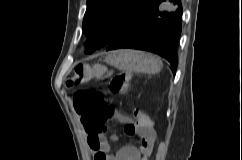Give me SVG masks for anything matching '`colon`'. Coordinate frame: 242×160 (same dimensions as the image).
<instances>
[{
    "mask_svg": "<svg viewBox=\"0 0 242 160\" xmlns=\"http://www.w3.org/2000/svg\"><path fill=\"white\" fill-rule=\"evenodd\" d=\"M109 76L107 67L103 64L89 65L78 63L67 81L69 87L88 83L92 79H103ZM109 92L121 94L129 90V76L125 73H118L109 80ZM74 108L81 115L85 129L93 134L105 132L106 122L114 115V110L107 102L104 94L96 90H81L75 93ZM134 112L140 113V110ZM133 134V130L128 131Z\"/></svg>",
    "mask_w": 242,
    "mask_h": 160,
    "instance_id": "obj_1",
    "label": "colon"
}]
</instances>
